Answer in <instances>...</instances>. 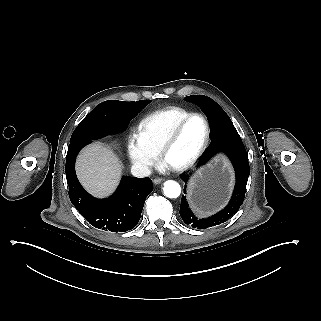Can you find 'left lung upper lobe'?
<instances>
[{
  "instance_id": "1",
  "label": "left lung upper lobe",
  "mask_w": 321,
  "mask_h": 321,
  "mask_svg": "<svg viewBox=\"0 0 321 321\" xmlns=\"http://www.w3.org/2000/svg\"><path fill=\"white\" fill-rule=\"evenodd\" d=\"M186 100L197 104L201 110L206 114L217 112L221 115V121L217 125L210 128V133L221 132L228 129H234V125L225 111L211 98L204 95H192L185 97Z\"/></svg>"
}]
</instances>
